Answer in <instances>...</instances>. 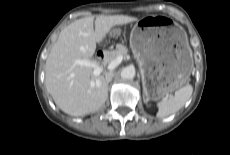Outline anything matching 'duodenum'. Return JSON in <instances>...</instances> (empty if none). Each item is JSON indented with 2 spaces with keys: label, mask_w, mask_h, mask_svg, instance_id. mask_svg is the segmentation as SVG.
I'll return each instance as SVG.
<instances>
[{
  "label": "duodenum",
  "mask_w": 230,
  "mask_h": 155,
  "mask_svg": "<svg viewBox=\"0 0 230 155\" xmlns=\"http://www.w3.org/2000/svg\"><path fill=\"white\" fill-rule=\"evenodd\" d=\"M96 59L99 62L105 64L107 62V54H106V52L102 51V50L98 51L97 54H96Z\"/></svg>",
  "instance_id": "410a0bca"
}]
</instances>
